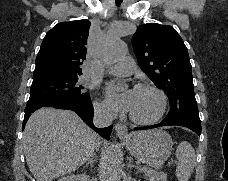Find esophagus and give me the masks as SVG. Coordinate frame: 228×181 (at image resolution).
<instances>
[{
    "instance_id": "34e87169",
    "label": "esophagus",
    "mask_w": 228,
    "mask_h": 181,
    "mask_svg": "<svg viewBox=\"0 0 228 181\" xmlns=\"http://www.w3.org/2000/svg\"><path fill=\"white\" fill-rule=\"evenodd\" d=\"M115 131L118 137H127L129 135L128 128L125 124L117 123L115 125Z\"/></svg>"
}]
</instances>
